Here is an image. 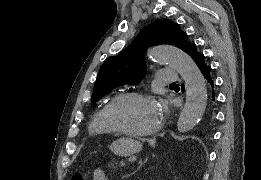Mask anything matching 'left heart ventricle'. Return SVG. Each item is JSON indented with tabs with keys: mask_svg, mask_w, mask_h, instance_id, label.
Segmentation results:
<instances>
[{
	"mask_svg": "<svg viewBox=\"0 0 261 180\" xmlns=\"http://www.w3.org/2000/svg\"><path fill=\"white\" fill-rule=\"evenodd\" d=\"M158 103L145 98H126L111 107L108 116L118 131L128 135L150 132L156 122Z\"/></svg>",
	"mask_w": 261,
	"mask_h": 180,
	"instance_id": "b2bd125f",
	"label": "left heart ventricle"
}]
</instances>
